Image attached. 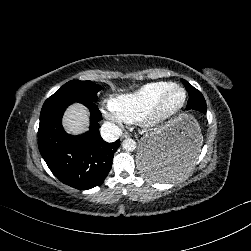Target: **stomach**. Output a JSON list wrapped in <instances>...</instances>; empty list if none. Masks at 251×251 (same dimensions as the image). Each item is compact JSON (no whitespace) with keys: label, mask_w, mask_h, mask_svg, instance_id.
<instances>
[{"label":"stomach","mask_w":251,"mask_h":251,"mask_svg":"<svg viewBox=\"0 0 251 251\" xmlns=\"http://www.w3.org/2000/svg\"><path fill=\"white\" fill-rule=\"evenodd\" d=\"M203 141L197 117L181 112L159 131L144 134L137 150L138 166L151 179H179L200 158Z\"/></svg>","instance_id":"stomach-1"}]
</instances>
